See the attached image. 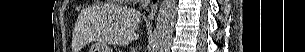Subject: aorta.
<instances>
[{
  "instance_id": "aorta-1",
  "label": "aorta",
  "mask_w": 305,
  "mask_h": 52,
  "mask_svg": "<svg viewBox=\"0 0 305 52\" xmlns=\"http://www.w3.org/2000/svg\"><path fill=\"white\" fill-rule=\"evenodd\" d=\"M176 13L177 0H162L150 52H169Z\"/></svg>"
}]
</instances>
